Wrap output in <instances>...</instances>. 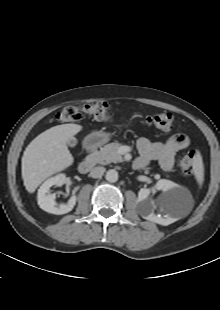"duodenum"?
<instances>
[{
  "instance_id": "obj_1",
  "label": "duodenum",
  "mask_w": 220,
  "mask_h": 310,
  "mask_svg": "<svg viewBox=\"0 0 220 310\" xmlns=\"http://www.w3.org/2000/svg\"><path fill=\"white\" fill-rule=\"evenodd\" d=\"M87 149L93 152L95 150V145L87 144ZM94 164H95L94 158L92 157L87 158L79 164V171L83 174L89 173L91 169L93 168Z\"/></svg>"
}]
</instances>
